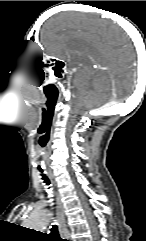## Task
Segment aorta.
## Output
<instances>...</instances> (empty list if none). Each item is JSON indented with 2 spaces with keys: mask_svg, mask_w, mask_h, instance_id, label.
I'll return each mask as SVG.
<instances>
[{
  "mask_svg": "<svg viewBox=\"0 0 146 241\" xmlns=\"http://www.w3.org/2000/svg\"><path fill=\"white\" fill-rule=\"evenodd\" d=\"M50 214L48 210H40L32 213L24 222L27 228L34 230H44L49 223Z\"/></svg>",
  "mask_w": 146,
  "mask_h": 241,
  "instance_id": "1",
  "label": "aorta"
}]
</instances>
